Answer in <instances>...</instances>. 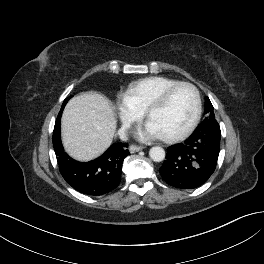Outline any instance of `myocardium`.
<instances>
[{"instance_id": "1", "label": "myocardium", "mask_w": 264, "mask_h": 264, "mask_svg": "<svg viewBox=\"0 0 264 264\" xmlns=\"http://www.w3.org/2000/svg\"><path fill=\"white\" fill-rule=\"evenodd\" d=\"M180 87H189L195 96V102H196V110L195 114L190 122V124L180 133L172 135V136H161L162 140L167 142V143H176L179 142L185 138H187L197 127L201 115H202V100H201V95L198 90V88L190 83V82H185V81H180L177 82L169 87H167L159 96L156 100H154L149 107L146 110V118L149 120L151 114L165 106L170 99L171 95Z\"/></svg>"}]
</instances>
